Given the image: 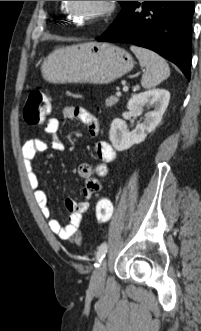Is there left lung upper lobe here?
I'll return each instance as SVG.
<instances>
[{
	"label": "left lung upper lobe",
	"instance_id": "left-lung-upper-lobe-1",
	"mask_svg": "<svg viewBox=\"0 0 201 331\" xmlns=\"http://www.w3.org/2000/svg\"><path fill=\"white\" fill-rule=\"evenodd\" d=\"M123 1H119L120 4H122Z\"/></svg>",
	"mask_w": 201,
	"mask_h": 331
}]
</instances>
